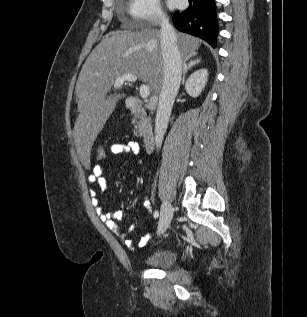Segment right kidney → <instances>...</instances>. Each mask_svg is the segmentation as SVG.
I'll use <instances>...</instances> for the list:
<instances>
[{
	"instance_id": "right-kidney-1",
	"label": "right kidney",
	"mask_w": 307,
	"mask_h": 317,
	"mask_svg": "<svg viewBox=\"0 0 307 317\" xmlns=\"http://www.w3.org/2000/svg\"><path fill=\"white\" fill-rule=\"evenodd\" d=\"M208 78L207 69H199L192 73L185 83V90L191 97H198L204 89Z\"/></svg>"
}]
</instances>
